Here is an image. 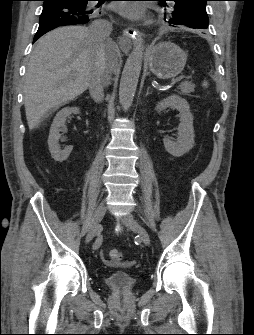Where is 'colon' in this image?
<instances>
[{
	"label": "colon",
	"mask_w": 254,
	"mask_h": 335,
	"mask_svg": "<svg viewBox=\"0 0 254 335\" xmlns=\"http://www.w3.org/2000/svg\"><path fill=\"white\" fill-rule=\"evenodd\" d=\"M122 258V254L118 249H109L107 251V261L110 263H118Z\"/></svg>",
	"instance_id": "colon-1"
}]
</instances>
